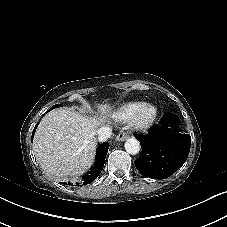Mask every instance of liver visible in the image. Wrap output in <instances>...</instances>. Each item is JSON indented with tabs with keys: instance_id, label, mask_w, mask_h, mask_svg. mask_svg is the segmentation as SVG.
Wrapping results in <instances>:
<instances>
[{
	"instance_id": "6515ba94",
	"label": "liver",
	"mask_w": 227,
	"mask_h": 227,
	"mask_svg": "<svg viewBox=\"0 0 227 227\" xmlns=\"http://www.w3.org/2000/svg\"><path fill=\"white\" fill-rule=\"evenodd\" d=\"M101 115L110 110L100 105ZM86 118L69 108H59L47 113L40 121L33 140V150L40 166L57 178H76L94 162L95 127L104 121Z\"/></svg>"
}]
</instances>
